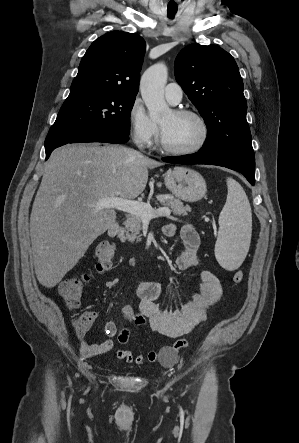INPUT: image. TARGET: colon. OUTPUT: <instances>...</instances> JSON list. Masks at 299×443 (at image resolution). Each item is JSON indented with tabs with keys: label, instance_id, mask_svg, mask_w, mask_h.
<instances>
[{
	"label": "colon",
	"instance_id": "1",
	"mask_svg": "<svg viewBox=\"0 0 299 443\" xmlns=\"http://www.w3.org/2000/svg\"><path fill=\"white\" fill-rule=\"evenodd\" d=\"M115 258L116 248L114 244L106 240L99 242L94 252L95 272L102 273L108 270L113 265ZM91 275V273H84L68 277L59 284L58 294L68 309H76L80 306L84 285L89 281ZM243 279L244 272L237 270L233 275V281L240 283ZM121 318L128 325L135 326L138 316L132 307H125L121 310ZM92 322V318L88 313L82 314L75 320V328L78 333L82 334L91 326ZM161 358L169 363L173 361L174 353L170 349H165L161 354Z\"/></svg>",
	"mask_w": 299,
	"mask_h": 443
}]
</instances>
